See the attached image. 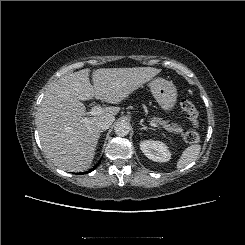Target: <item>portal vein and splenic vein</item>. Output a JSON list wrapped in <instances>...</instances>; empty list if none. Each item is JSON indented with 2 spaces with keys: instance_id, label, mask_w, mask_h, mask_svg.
<instances>
[{
  "instance_id": "1",
  "label": "portal vein and splenic vein",
  "mask_w": 245,
  "mask_h": 245,
  "mask_svg": "<svg viewBox=\"0 0 245 245\" xmlns=\"http://www.w3.org/2000/svg\"><path fill=\"white\" fill-rule=\"evenodd\" d=\"M103 111H104V108L98 107V106H94V107H92L91 111L88 112V115H89V116L100 115V114L103 113ZM150 125L153 126V127L159 128V125H157V124L154 123V122H150Z\"/></svg>"
}]
</instances>
